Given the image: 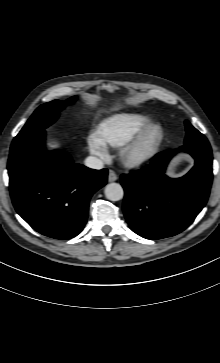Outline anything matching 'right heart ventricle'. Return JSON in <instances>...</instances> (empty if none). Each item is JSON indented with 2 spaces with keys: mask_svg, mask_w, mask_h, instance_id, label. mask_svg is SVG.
<instances>
[{
  "mask_svg": "<svg viewBox=\"0 0 220 363\" xmlns=\"http://www.w3.org/2000/svg\"><path fill=\"white\" fill-rule=\"evenodd\" d=\"M150 122L149 117L141 114L120 113L102 121L97 134L105 144L118 148L147 127Z\"/></svg>",
  "mask_w": 220,
  "mask_h": 363,
  "instance_id": "1",
  "label": "right heart ventricle"
}]
</instances>
